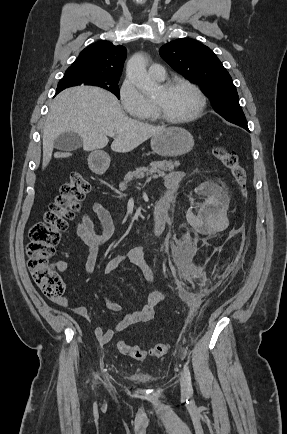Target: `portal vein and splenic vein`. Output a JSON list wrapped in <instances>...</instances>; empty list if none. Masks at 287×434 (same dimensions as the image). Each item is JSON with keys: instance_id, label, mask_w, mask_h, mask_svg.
Returning a JSON list of instances; mask_svg holds the SVG:
<instances>
[{"instance_id": "1", "label": "portal vein and splenic vein", "mask_w": 287, "mask_h": 434, "mask_svg": "<svg viewBox=\"0 0 287 434\" xmlns=\"http://www.w3.org/2000/svg\"><path fill=\"white\" fill-rule=\"evenodd\" d=\"M106 134H107L108 136H111V137H113V136L115 135L114 132H107Z\"/></svg>"}]
</instances>
